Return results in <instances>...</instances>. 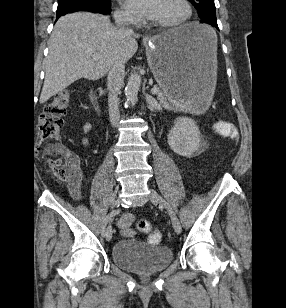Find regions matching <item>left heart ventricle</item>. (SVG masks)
<instances>
[{
    "label": "left heart ventricle",
    "mask_w": 286,
    "mask_h": 308,
    "mask_svg": "<svg viewBox=\"0 0 286 308\" xmlns=\"http://www.w3.org/2000/svg\"><path fill=\"white\" fill-rule=\"evenodd\" d=\"M185 9L180 0H159L153 19L160 22H171L182 18Z\"/></svg>",
    "instance_id": "left-heart-ventricle-1"
}]
</instances>
